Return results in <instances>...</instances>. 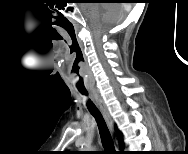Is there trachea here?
<instances>
[{
	"instance_id": "1",
	"label": "trachea",
	"mask_w": 188,
	"mask_h": 154,
	"mask_svg": "<svg viewBox=\"0 0 188 154\" xmlns=\"http://www.w3.org/2000/svg\"><path fill=\"white\" fill-rule=\"evenodd\" d=\"M80 93L86 96L88 95L87 91L84 90H80ZM87 107L97 121L102 144L104 147V154H116L111 134L109 132V129L106 125L103 116L90 99L87 102Z\"/></svg>"
}]
</instances>
